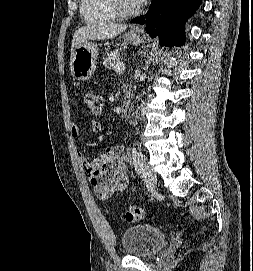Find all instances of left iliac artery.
Masks as SVG:
<instances>
[{"mask_svg":"<svg viewBox=\"0 0 253 271\" xmlns=\"http://www.w3.org/2000/svg\"><path fill=\"white\" fill-rule=\"evenodd\" d=\"M132 160L137 173L142 174L144 171V167L141 159V153L135 145H133L132 147Z\"/></svg>","mask_w":253,"mask_h":271,"instance_id":"1","label":"left iliac artery"}]
</instances>
